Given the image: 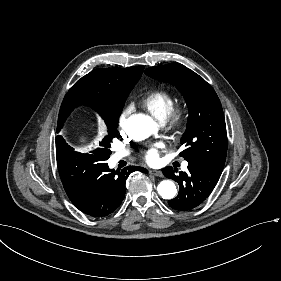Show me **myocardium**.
I'll return each mask as SVG.
<instances>
[{
  "label": "myocardium",
  "instance_id": "1",
  "mask_svg": "<svg viewBox=\"0 0 281 281\" xmlns=\"http://www.w3.org/2000/svg\"><path fill=\"white\" fill-rule=\"evenodd\" d=\"M186 120V113L181 105H175L166 117V124L169 129L180 128Z\"/></svg>",
  "mask_w": 281,
  "mask_h": 281
}]
</instances>
